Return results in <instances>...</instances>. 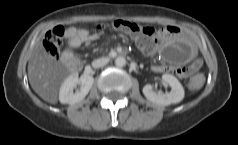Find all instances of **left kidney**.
Wrapping results in <instances>:
<instances>
[{
	"label": "left kidney",
	"instance_id": "obj_1",
	"mask_svg": "<svg viewBox=\"0 0 238 145\" xmlns=\"http://www.w3.org/2000/svg\"><path fill=\"white\" fill-rule=\"evenodd\" d=\"M162 79L167 82L171 91L169 93H156L150 84L143 87L144 96L153 103L167 106L173 103H179L183 100L185 92L179 80L171 74H163Z\"/></svg>",
	"mask_w": 238,
	"mask_h": 145
}]
</instances>
